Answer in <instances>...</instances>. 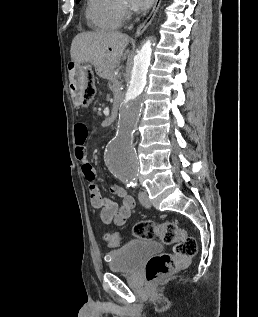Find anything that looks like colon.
Here are the masks:
<instances>
[{
  "label": "colon",
  "mask_w": 258,
  "mask_h": 317,
  "mask_svg": "<svg viewBox=\"0 0 258 317\" xmlns=\"http://www.w3.org/2000/svg\"><path fill=\"white\" fill-rule=\"evenodd\" d=\"M95 81L90 72L85 73L79 90L81 102L89 104L95 95ZM134 235L143 240L158 238L165 245H172L171 253H162L151 258L146 264V278L149 282L157 281L169 273L183 267L197 253L196 240L187 234L176 221L156 223L140 221L133 228ZM109 247L115 248L122 244L119 232H107L104 236Z\"/></svg>",
  "instance_id": "5ec220e1"
}]
</instances>
